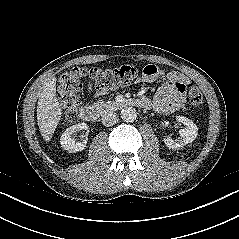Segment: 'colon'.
<instances>
[{"instance_id":"5ec220e1","label":"colon","mask_w":239,"mask_h":239,"mask_svg":"<svg viewBox=\"0 0 239 239\" xmlns=\"http://www.w3.org/2000/svg\"><path fill=\"white\" fill-rule=\"evenodd\" d=\"M138 76V70L132 65L116 68H86L75 67L60 76L58 96L62 104L63 114L68 122H74L78 116L80 104L79 91L83 81L89 79L91 85L99 91H107L132 84ZM187 89L189 102L193 107L203 103V96L199 88L193 85L184 86Z\"/></svg>"}]
</instances>
